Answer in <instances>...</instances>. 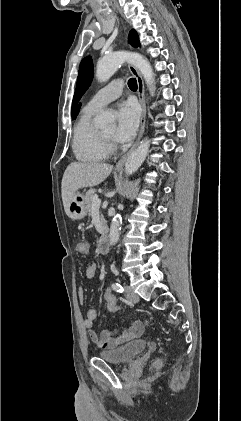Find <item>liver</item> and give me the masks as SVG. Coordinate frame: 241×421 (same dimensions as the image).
<instances>
[{
    "label": "liver",
    "mask_w": 241,
    "mask_h": 421,
    "mask_svg": "<svg viewBox=\"0 0 241 421\" xmlns=\"http://www.w3.org/2000/svg\"><path fill=\"white\" fill-rule=\"evenodd\" d=\"M113 166L105 163L72 162L62 178V201L69 216V205L75 193L82 188L102 183L112 172Z\"/></svg>",
    "instance_id": "6515ba94"
}]
</instances>
